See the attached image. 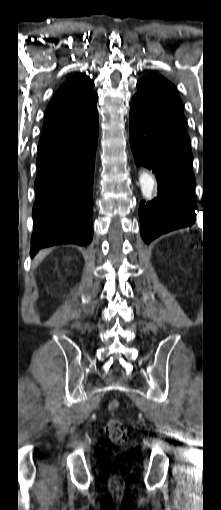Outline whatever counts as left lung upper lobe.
I'll list each match as a JSON object with an SVG mask.
<instances>
[{
  "label": "left lung upper lobe",
  "instance_id": "left-lung-upper-lobe-1",
  "mask_svg": "<svg viewBox=\"0 0 221 510\" xmlns=\"http://www.w3.org/2000/svg\"><path fill=\"white\" fill-rule=\"evenodd\" d=\"M137 89L132 107L164 134L190 146V138L185 133L187 121L175 86L163 76L150 72L138 81Z\"/></svg>",
  "mask_w": 221,
  "mask_h": 510
}]
</instances>
